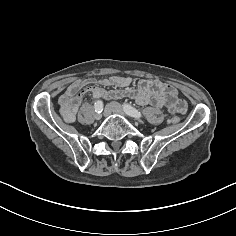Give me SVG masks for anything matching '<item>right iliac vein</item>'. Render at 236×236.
<instances>
[{"instance_id":"obj_1","label":"right iliac vein","mask_w":236,"mask_h":236,"mask_svg":"<svg viewBox=\"0 0 236 236\" xmlns=\"http://www.w3.org/2000/svg\"><path fill=\"white\" fill-rule=\"evenodd\" d=\"M111 112H112V107H111L110 104H107V105L104 107V113H103L104 117H109L110 114H111Z\"/></svg>"}]
</instances>
